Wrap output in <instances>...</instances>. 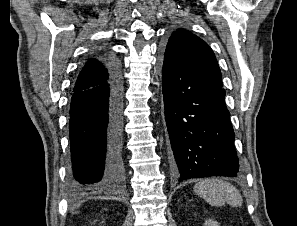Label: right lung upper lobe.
<instances>
[{"label":"right lung upper lobe","mask_w":297,"mask_h":226,"mask_svg":"<svg viewBox=\"0 0 297 226\" xmlns=\"http://www.w3.org/2000/svg\"><path fill=\"white\" fill-rule=\"evenodd\" d=\"M109 57L100 55L98 58L89 59L76 80L74 91H81L101 85L109 78L107 62Z\"/></svg>","instance_id":"obj_1"}]
</instances>
